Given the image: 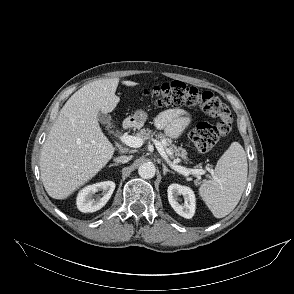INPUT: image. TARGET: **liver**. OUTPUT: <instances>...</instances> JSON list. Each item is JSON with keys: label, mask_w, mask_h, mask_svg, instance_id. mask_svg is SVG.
I'll return each mask as SVG.
<instances>
[{"label": "liver", "mask_w": 294, "mask_h": 294, "mask_svg": "<svg viewBox=\"0 0 294 294\" xmlns=\"http://www.w3.org/2000/svg\"><path fill=\"white\" fill-rule=\"evenodd\" d=\"M119 78L93 81L76 91L60 110L40 155L48 195L65 199L91 180L112 158L115 147L103 134L98 114L112 112ZM136 86L133 81H122Z\"/></svg>", "instance_id": "obj_1"}]
</instances>
